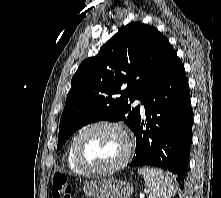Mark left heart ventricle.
I'll list each match as a JSON object with an SVG mask.
<instances>
[{"mask_svg":"<svg viewBox=\"0 0 221 198\" xmlns=\"http://www.w3.org/2000/svg\"><path fill=\"white\" fill-rule=\"evenodd\" d=\"M125 141L116 130L98 128L86 134L80 143L84 163L101 168L115 164L123 155Z\"/></svg>","mask_w":221,"mask_h":198,"instance_id":"b2bd125f","label":"left heart ventricle"}]
</instances>
